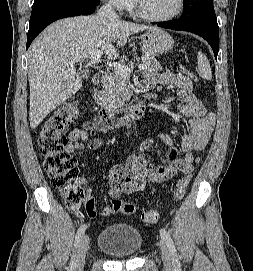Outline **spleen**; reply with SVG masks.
<instances>
[{
    "mask_svg": "<svg viewBox=\"0 0 253 271\" xmlns=\"http://www.w3.org/2000/svg\"><path fill=\"white\" fill-rule=\"evenodd\" d=\"M197 60H198V73L200 77L206 80H211L212 72L209 60L207 59L206 55L199 51L197 55Z\"/></svg>",
    "mask_w": 253,
    "mask_h": 271,
    "instance_id": "1",
    "label": "spleen"
}]
</instances>
